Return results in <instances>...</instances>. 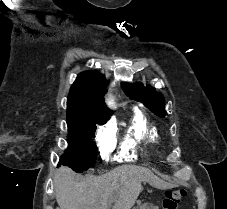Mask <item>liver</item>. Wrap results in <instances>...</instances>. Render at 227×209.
<instances>
[{
  "instance_id": "obj_1",
  "label": "liver",
  "mask_w": 227,
  "mask_h": 209,
  "mask_svg": "<svg viewBox=\"0 0 227 209\" xmlns=\"http://www.w3.org/2000/svg\"><path fill=\"white\" fill-rule=\"evenodd\" d=\"M152 179L155 175L149 169L122 165L106 175L79 183L72 169L60 167L54 177L55 197L60 209H107L108 199L118 191L119 203L124 197L129 201L123 205L116 203L114 209H131L141 191V181Z\"/></svg>"
}]
</instances>
